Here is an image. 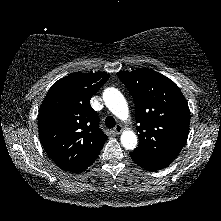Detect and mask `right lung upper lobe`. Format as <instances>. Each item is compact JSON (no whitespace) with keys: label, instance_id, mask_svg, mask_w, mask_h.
Instances as JSON below:
<instances>
[{"label":"right lung upper lobe","instance_id":"obj_1","mask_svg":"<svg viewBox=\"0 0 221 221\" xmlns=\"http://www.w3.org/2000/svg\"><path fill=\"white\" fill-rule=\"evenodd\" d=\"M109 77L107 73H72L54 83L41 104L42 145L64 171L84 170L104 146L107 135L99 128L89 101Z\"/></svg>","mask_w":221,"mask_h":221}]
</instances>
